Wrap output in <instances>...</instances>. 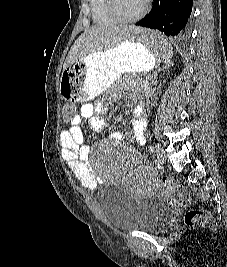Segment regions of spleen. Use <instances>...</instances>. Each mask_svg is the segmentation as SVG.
Segmentation results:
<instances>
[{
  "mask_svg": "<svg viewBox=\"0 0 227 267\" xmlns=\"http://www.w3.org/2000/svg\"><path fill=\"white\" fill-rule=\"evenodd\" d=\"M123 30H135V33H128L130 43H141L142 47H148L155 63H172L174 50L172 38H164L163 31H155V27H142L140 25H123Z\"/></svg>",
  "mask_w": 227,
  "mask_h": 267,
  "instance_id": "spleen-1",
  "label": "spleen"
}]
</instances>
